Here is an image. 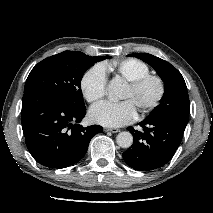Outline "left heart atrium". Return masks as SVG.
I'll return each mask as SVG.
<instances>
[{
  "mask_svg": "<svg viewBox=\"0 0 213 213\" xmlns=\"http://www.w3.org/2000/svg\"><path fill=\"white\" fill-rule=\"evenodd\" d=\"M89 117L94 123L119 127L131 123L136 118V107L131 100L120 103L102 102L91 108Z\"/></svg>",
  "mask_w": 213,
  "mask_h": 213,
  "instance_id": "39dd6f15",
  "label": "left heart atrium"
}]
</instances>
